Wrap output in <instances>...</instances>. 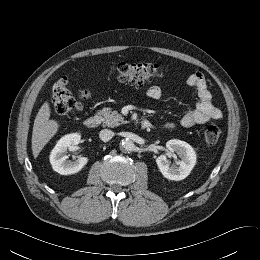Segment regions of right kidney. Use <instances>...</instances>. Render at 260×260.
I'll list each match as a JSON object with an SVG mask.
<instances>
[{
	"instance_id": "obj_1",
	"label": "right kidney",
	"mask_w": 260,
	"mask_h": 260,
	"mask_svg": "<svg viewBox=\"0 0 260 260\" xmlns=\"http://www.w3.org/2000/svg\"><path fill=\"white\" fill-rule=\"evenodd\" d=\"M81 136L78 133L68 134L62 137L50 154V163L54 171L61 175H71L79 172L88 162V158L79 157L75 161L68 160L67 151H73L80 143Z\"/></svg>"
}]
</instances>
